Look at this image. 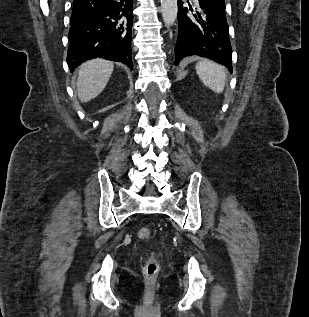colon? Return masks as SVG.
<instances>
[{
  "instance_id": "colon-1",
  "label": "colon",
  "mask_w": 309,
  "mask_h": 317,
  "mask_svg": "<svg viewBox=\"0 0 309 317\" xmlns=\"http://www.w3.org/2000/svg\"><path fill=\"white\" fill-rule=\"evenodd\" d=\"M137 236L141 240H146L150 237V230L146 227H142L137 231ZM158 272L159 262L155 256H151L143 268L145 294L149 300L154 296Z\"/></svg>"
}]
</instances>
